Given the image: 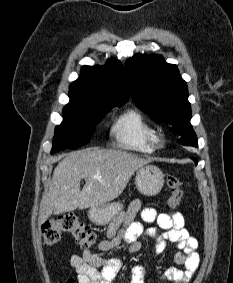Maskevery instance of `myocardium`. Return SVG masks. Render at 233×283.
Instances as JSON below:
<instances>
[{
    "mask_svg": "<svg viewBox=\"0 0 233 283\" xmlns=\"http://www.w3.org/2000/svg\"><path fill=\"white\" fill-rule=\"evenodd\" d=\"M165 144V138L163 135H160V134H157V137H156V145L159 146V147H162L164 146Z\"/></svg>",
    "mask_w": 233,
    "mask_h": 283,
    "instance_id": "f54148a6",
    "label": "myocardium"
}]
</instances>
